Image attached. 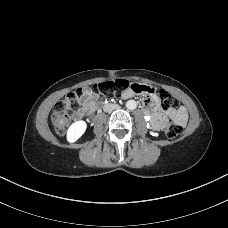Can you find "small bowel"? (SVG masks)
Masks as SVG:
<instances>
[{
  "instance_id": "c3829d8e",
  "label": "small bowel",
  "mask_w": 228,
  "mask_h": 228,
  "mask_svg": "<svg viewBox=\"0 0 228 228\" xmlns=\"http://www.w3.org/2000/svg\"><path fill=\"white\" fill-rule=\"evenodd\" d=\"M134 96V92L131 89H127L123 91L122 97L125 99L132 98ZM99 103V94L92 90H88L87 95L82 100L81 109L77 112V118H82L85 114H91L95 112L98 108ZM161 110L160 100L157 96H152L145 101L144 104V112L151 116L152 118V128L155 130H160L165 126V117L159 111ZM176 120V122L184 126L188 119L187 110L185 107L180 106L176 110H172L169 112Z\"/></svg>"
}]
</instances>
